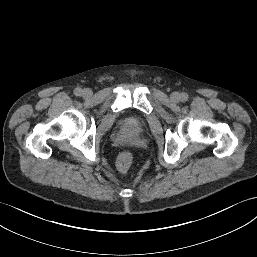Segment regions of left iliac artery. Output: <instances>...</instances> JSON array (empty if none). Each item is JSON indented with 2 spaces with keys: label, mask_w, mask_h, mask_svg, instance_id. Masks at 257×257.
<instances>
[{
  "label": "left iliac artery",
  "mask_w": 257,
  "mask_h": 257,
  "mask_svg": "<svg viewBox=\"0 0 257 257\" xmlns=\"http://www.w3.org/2000/svg\"><path fill=\"white\" fill-rule=\"evenodd\" d=\"M181 101L185 102L188 100V95L186 93H182L180 96Z\"/></svg>",
  "instance_id": "obj_1"
}]
</instances>
